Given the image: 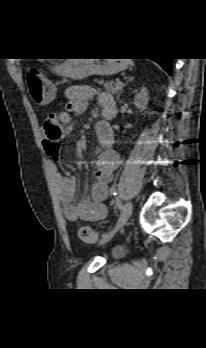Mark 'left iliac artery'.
<instances>
[{
	"label": "left iliac artery",
	"mask_w": 206,
	"mask_h": 348,
	"mask_svg": "<svg viewBox=\"0 0 206 348\" xmlns=\"http://www.w3.org/2000/svg\"><path fill=\"white\" fill-rule=\"evenodd\" d=\"M111 193H112L114 196L118 194L117 190L114 189V188L111 190Z\"/></svg>",
	"instance_id": "1"
}]
</instances>
